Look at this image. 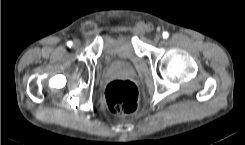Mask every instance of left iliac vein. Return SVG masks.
Segmentation results:
<instances>
[{"label":"left iliac vein","instance_id":"1","mask_svg":"<svg viewBox=\"0 0 245 145\" xmlns=\"http://www.w3.org/2000/svg\"><path fill=\"white\" fill-rule=\"evenodd\" d=\"M162 36L160 34H156L154 37L155 42H159L161 40Z\"/></svg>","mask_w":245,"mask_h":145}]
</instances>
